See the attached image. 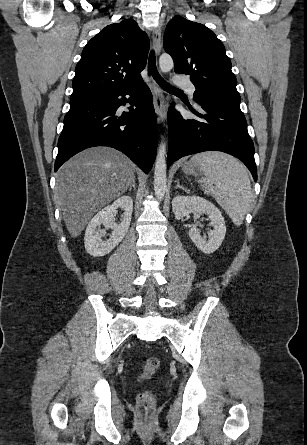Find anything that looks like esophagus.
I'll list each match as a JSON object with an SVG mask.
<instances>
[{
	"mask_svg": "<svg viewBox=\"0 0 307 445\" xmlns=\"http://www.w3.org/2000/svg\"><path fill=\"white\" fill-rule=\"evenodd\" d=\"M152 46L156 55L160 54L161 51V29L160 27H155L152 32ZM151 88L154 95V109L157 115L158 121L164 123L167 117L164 96L160 88L157 86L155 81H152Z\"/></svg>",
	"mask_w": 307,
	"mask_h": 445,
	"instance_id": "esophagus-1",
	"label": "esophagus"
}]
</instances>
